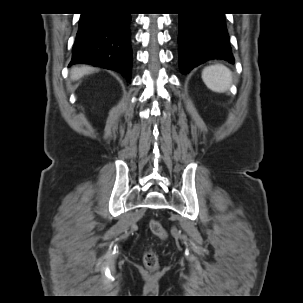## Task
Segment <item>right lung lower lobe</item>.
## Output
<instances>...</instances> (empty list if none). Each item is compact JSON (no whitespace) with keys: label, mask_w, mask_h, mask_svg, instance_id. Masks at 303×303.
<instances>
[{"label":"right lung lower lobe","mask_w":303,"mask_h":303,"mask_svg":"<svg viewBox=\"0 0 303 303\" xmlns=\"http://www.w3.org/2000/svg\"><path fill=\"white\" fill-rule=\"evenodd\" d=\"M131 15L94 10L81 14L72 61L120 72L131 80Z\"/></svg>","instance_id":"98d812e1"}]
</instances>
